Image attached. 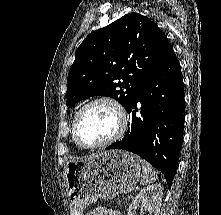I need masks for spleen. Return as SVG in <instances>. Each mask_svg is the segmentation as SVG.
<instances>
[{
  "instance_id": "obj_1",
  "label": "spleen",
  "mask_w": 221,
  "mask_h": 215,
  "mask_svg": "<svg viewBox=\"0 0 221 215\" xmlns=\"http://www.w3.org/2000/svg\"><path fill=\"white\" fill-rule=\"evenodd\" d=\"M142 164V179H141V184L142 185H147L152 182H155L158 179V175L154 168L145 160H141Z\"/></svg>"
}]
</instances>
